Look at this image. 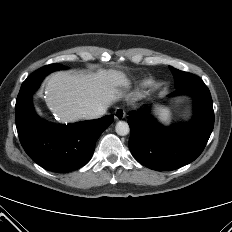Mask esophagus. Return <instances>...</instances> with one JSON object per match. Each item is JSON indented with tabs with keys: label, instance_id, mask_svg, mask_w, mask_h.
Returning <instances> with one entry per match:
<instances>
[{
	"label": "esophagus",
	"instance_id": "obj_1",
	"mask_svg": "<svg viewBox=\"0 0 232 232\" xmlns=\"http://www.w3.org/2000/svg\"><path fill=\"white\" fill-rule=\"evenodd\" d=\"M126 115L125 110L122 107H117L115 112H114V117L116 119H123Z\"/></svg>",
	"mask_w": 232,
	"mask_h": 232
}]
</instances>
